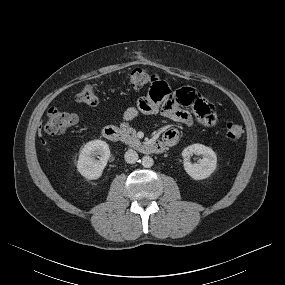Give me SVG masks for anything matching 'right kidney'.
Instances as JSON below:
<instances>
[{"instance_id":"right-kidney-1","label":"right kidney","mask_w":285,"mask_h":285,"mask_svg":"<svg viewBox=\"0 0 285 285\" xmlns=\"http://www.w3.org/2000/svg\"><path fill=\"white\" fill-rule=\"evenodd\" d=\"M109 157L108 144L102 140H92L82 148L77 162V170L83 177L96 180L102 176Z\"/></svg>"}]
</instances>
